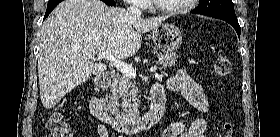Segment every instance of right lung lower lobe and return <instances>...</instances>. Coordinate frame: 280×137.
<instances>
[{"instance_id": "98d812e1", "label": "right lung lower lobe", "mask_w": 280, "mask_h": 137, "mask_svg": "<svg viewBox=\"0 0 280 137\" xmlns=\"http://www.w3.org/2000/svg\"><path fill=\"white\" fill-rule=\"evenodd\" d=\"M63 0H49L47 5V10L44 19L52 12V10ZM107 5L114 6L115 2L113 0H102Z\"/></svg>"}]
</instances>
